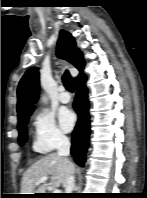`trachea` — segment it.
<instances>
[{
  "label": "trachea",
  "mask_w": 147,
  "mask_h": 198,
  "mask_svg": "<svg viewBox=\"0 0 147 198\" xmlns=\"http://www.w3.org/2000/svg\"><path fill=\"white\" fill-rule=\"evenodd\" d=\"M62 81H63V84H64L65 88L68 91H70V92L74 91L73 80H72V77H71L68 70H66L65 73L63 74Z\"/></svg>",
  "instance_id": "obj_1"
}]
</instances>
